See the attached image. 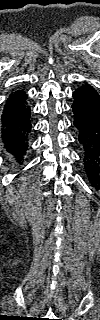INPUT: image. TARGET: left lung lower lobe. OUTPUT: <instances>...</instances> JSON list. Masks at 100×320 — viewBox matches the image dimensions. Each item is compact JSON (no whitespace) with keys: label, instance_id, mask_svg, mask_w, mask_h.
<instances>
[{"label":"left lung lower lobe","instance_id":"1","mask_svg":"<svg viewBox=\"0 0 100 320\" xmlns=\"http://www.w3.org/2000/svg\"><path fill=\"white\" fill-rule=\"evenodd\" d=\"M74 125L84 150V166L92 185L100 180V95L89 84L73 92Z\"/></svg>","mask_w":100,"mask_h":320}]
</instances>
